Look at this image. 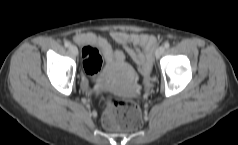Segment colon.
<instances>
[{
    "label": "colon",
    "instance_id": "colon-1",
    "mask_svg": "<svg viewBox=\"0 0 238 145\" xmlns=\"http://www.w3.org/2000/svg\"><path fill=\"white\" fill-rule=\"evenodd\" d=\"M84 70L89 75H95L102 66V58L98 48L85 46L82 50ZM107 108L105 124L112 129L132 131L142 123L141 110L134 101L106 96Z\"/></svg>",
    "mask_w": 238,
    "mask_h": 145
}]
</instances>
